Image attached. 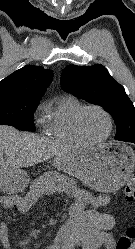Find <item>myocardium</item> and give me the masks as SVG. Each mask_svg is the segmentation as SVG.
I'll use <instances>...</instances> for the list:
<instances>
[{
	"label": "myocardium",
	"instance_id": "1",
	"mask_svg": "<svg viewBox=\"0 0 135 249\" xmlns=\"http://www.w3.org/2000/svg\"><path fill=\"white\" fill-rule=\"evenodd\" d=\"M90 109H95V110L99 111L100 113H102L105 116V118L107 119V122H108L109 128H108V131H107L106 135L103 138L98 139V140H93V139L88 138L84 134L83 129H82L81 119H82L83 115L85 114V112L90 110ZM74 127H75V130H76L77 134L80 136V138L86 144H100V143H103V142H105L106 140H108L110 138V136H111V134L113 132V119H112L110 113L100 105H97V104L84 105L83 107H81L78 110V112L75 115Z\"/></svg>",
	"mask_w": 135,
	"mask_h": 249
}]
</instances>
